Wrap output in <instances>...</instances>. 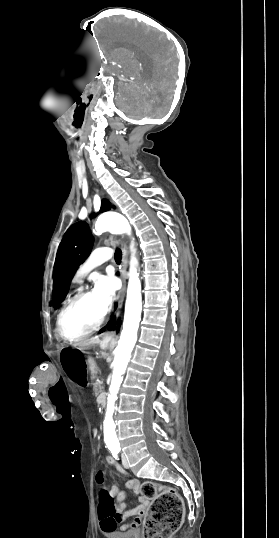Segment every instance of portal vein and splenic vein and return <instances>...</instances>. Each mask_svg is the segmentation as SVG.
<instances>
[{
  "label": "portal vein and splenic vein",
  "instance_id": "1",
  "mask_svg": "<svg viewBox=\"0 0 279 538\" xmlns=\"http://www.w3.org/2000/svg\"><path fill=\"white\" fill-rule=\"evenodd\" d=\"M99 383H103V380H99Z\"/></svg>",
  "mask_w": 279,
  "mask_h": 538
}]
</instances>
